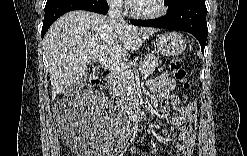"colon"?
<instances>
[{"label": "colon", "mask_w": 247, "mask_h": 156, "mask_svg": "<svg viewBox=\"0 0 247 156\" xmlns=\"http://www.w3.org/2000/svg\"><path fill=\"white\" fill-rule=\"evenodd\" d=\"M170 70L173 73L175 79L178 82H180L182 87L184 89H188L189 88L188 74H187V71H186L185 67L183 66L181 60H179V59L173 60L170 64ZM99 83H100V78H98V77L91 78L88 81L86 88L94 87V86L98 85Z\"/></svg>", "instance_id": "obj_1"}]
</instances>
